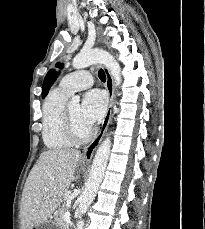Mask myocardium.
<instances>
[{"label":"myocardium","mask_w":205,"mask_h":229,"mask_svg":"<svg viewBox=\"0 0 205 229\" xmlns=\"http://www.w3.org/2000/svg\"><path fill=\"white\" fill-rule=\"evenodd\" d=\"M64 132L72 143H85L94 135L92 127L86 133H80L75 125L72 115L69 110V105H66L63 112Z\"/></svg>","instance_id":"1"}]
</instances>
